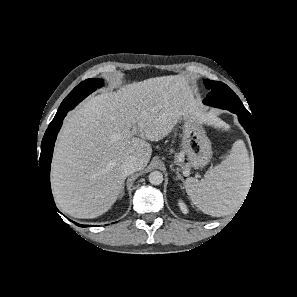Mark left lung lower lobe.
<instances>
[{
    "label": "left lung lower lobe",
    "instance_id": "1",
    "mask_svg": "<svg viewBox=\"0 0 297 297\" xmlns=\"http://www.w3.org/2000/svg\"><path fill=\"white\" fill-rule=\"evenodd\" d=\"M239 117V121L244 127V129L247 131V133L250 136L251 143L253 146V151H254V157H255V170L257 169L258 166V141L256 139V134H255V127H254V122L253 118L251 115H243L237 113Z\"/></svg>",
    "mask_w": 297,
    "mask_h": 297
}]
</instances>
